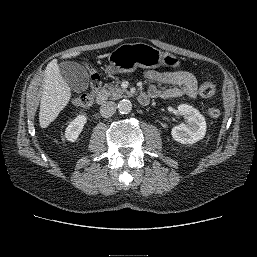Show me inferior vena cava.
Wrapping results in <instances>:
<instances>
[{"label":"inferior vena cava","instance_id":"inferior-vena-cava-1","mask_svg":"<svg viewBox=\"0 0 257 257\" xmlns=\"http://www.w3.org/2000/svg\"><path fill=\"white\" fill-rule=\"evenodd\" d=\"M115 111H116V104L112 101H108L100 107V114L103 117H110L115 113Z\"/></svg>","mask_w":257,"mask_h":257}]
</instances>
